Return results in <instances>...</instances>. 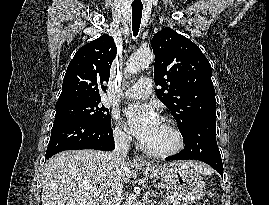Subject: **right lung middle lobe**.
Segmentation results:
<instances>
[{"label": "right lung middle lobe", "instance_id": "1", "mask_svg": "<svg viewBox=\"0 0 269 205\" xmlns=\"http://www.w3.org/2000/svg\"><path fill=\"white\" fill-rule=\"evenodd\" d=\"M63 120H83L101 125L111 124L109 110L101 104V100L56 107L54 122Z\"/></svg>", "mask_w": 269, "mask_h": 205}]
</instances>
